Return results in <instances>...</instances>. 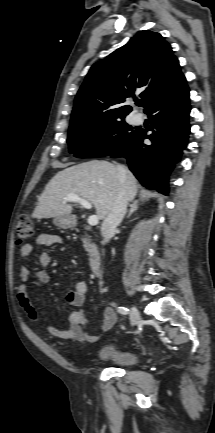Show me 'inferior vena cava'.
Segmentation results:
<instances>
[{
  "label": "inferior vena cava",
  "instance_id": "602c4592",
  "mask_svg": "<svg viewBox=\"0 0 215 433\" xmlns=\"http://www.w3.org/2000/svg\"><path fill=\"white\" fill-rule=\"evenodd\" d=\"M117 171L118 177L121 181V187L118 190L111 209L101 226V234L105 243L109 242L110 238L114 235L116 227L122 222L126 214V208L128 204L126 191L123 185L125 169L121 166H117Z\"/></svg>",
  "mask_w": 215,
  "mask_h": 433
}]
</instances>
